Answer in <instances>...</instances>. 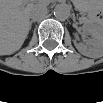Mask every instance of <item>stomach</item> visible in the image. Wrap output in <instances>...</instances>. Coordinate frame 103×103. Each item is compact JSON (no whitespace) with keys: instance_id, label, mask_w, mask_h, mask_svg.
Masks as SVG:
<instances>
[{"instance_id":"obj_1","label":"stomach","mask_w":103,"mask_h":103,"mask_svg":"<svg viewBox=\"0 0 103 103\" xmlns=\"http://www.w3.org/2000/svg\"><path fill=\"white\" fill-rule=\"evenodd\" d=\"M80 9H89V3H79L77 5ZM90 11V9H89Z\"/></svg>"}]
</instances>
